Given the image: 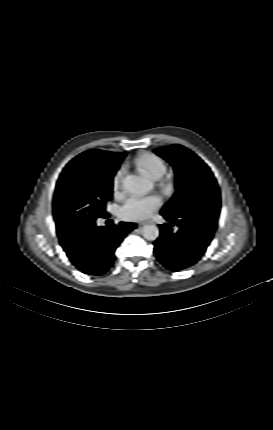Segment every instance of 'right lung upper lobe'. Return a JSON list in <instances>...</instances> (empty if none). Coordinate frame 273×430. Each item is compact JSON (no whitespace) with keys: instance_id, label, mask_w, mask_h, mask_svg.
Masks as SVG:
<instances>
[{"instance_id":"cb5924a9","label":"right lung upper lobe","mask_w":273,"mask_h":430,"mask_svg":"<svg viewBox=\"0 0 273 430\" xmlns=\"http://www.w3.org/2000/svg\"><path fill=\"white\" fill-rule=\"evenodd\" d=\"M122 154L123 153H114L95 149L80 154L76 157V160L92 165L114 167L118 169L123 159Z\"/></svg>"}]
</instances>
